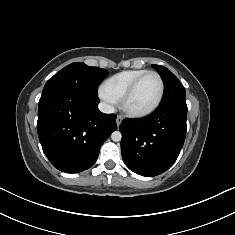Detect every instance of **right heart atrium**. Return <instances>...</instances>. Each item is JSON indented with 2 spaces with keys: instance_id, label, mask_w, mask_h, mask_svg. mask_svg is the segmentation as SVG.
<instances>
[{
  "instance_id": "obj_1",
  "label": "right heart atrium",
  "mask_w": 235,
  "mask_h": 235,
  "mask_svg": "<svg viewBox=\"0 0 235 235\" xmlns=\"http://www.w3.org/2000/svg\"><path fill=\"white\" fill-rule=\"evenodd\" d=\"M98 95L106 106V108L108 109H113L114 106L118 103L116 98H114L110 93H108L103 87L99 88Z\"/></svg>"
}]
</instances>
